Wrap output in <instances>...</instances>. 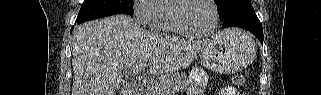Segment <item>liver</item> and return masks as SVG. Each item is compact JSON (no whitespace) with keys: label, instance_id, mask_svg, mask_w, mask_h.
Instances as JSON below:
<instances>
[{"label":"liver","instance_id":"obj_1","mask_svg":"<svg viewBox=\"0 0 321 95\" xmlns=\"http://www.w3.org/2000/svg\"><path fill=\"white\" fill-rule=\"evenodd\" d=\"M207 43L152 34L126 15L83 23L72 37V95H114L143 62L152 75L177 72Z\"/></svg>","mask_w":321,"mask_h":95}]
</instances>
